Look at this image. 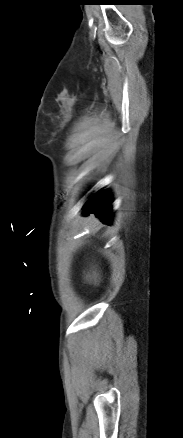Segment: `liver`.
<instances>
[{
	"mask_svg": "<svg viewBox=\"0 0 183 438\" xmlns=\"http://www.w3.org/2000/svg\"><path fill=\"white\" fill-rule=\"evenodd\" d=\"M97 277H98L97 274L94 272V273L92 274V276H91V275H88V276H87V280H88V281H92V280H93L95 283H97V282H98Z\"/></svg>",
	"mask_w": 183,
	"mask_h": 438,
	"instance_id": "1",
	"label": "liver"
}]
</instances>
